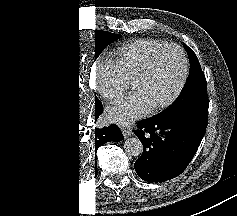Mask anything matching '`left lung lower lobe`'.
I'll return each mask as SVG.
<instances>
[{
    "label": "left lung lower lobe",
    "instance_id": "0a47b994",
    "mask_svg": "<svg viewBox=\"0 0 237 216\" xmlns=\"http://www.w3.org/2000/svg\"><path fill=\"white\" fill-rule=\"evenodd\" d=\"M137 127L134 133L144 150L134 164L135 170L149 183L179 176L194 157L205 132L184 121L159 116L142 120Z\"/></svg>",
    "mask_w": 237,
    "mask_h": 216
}]
</instances>
